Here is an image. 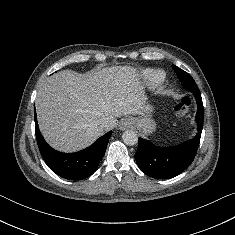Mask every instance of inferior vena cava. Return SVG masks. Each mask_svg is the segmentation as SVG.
Segmentation results:
<instances>
[{
  "label": "inferior vena cava",
  "instance_id": "1",
  "mask_svg": "<svg viewBox=\"0 0 235 235\" xmlns=\"http://www.w3.org/2000/svg\"><path fill=\"white\" fill-rule=\"evenodd\" d=\"M100 127L101 128H107L108 127V121H106V120L101 121L100 122Z\"/></svg>",
  "mask_w": 235,
  "mask_h": 235
}]
</instances>
